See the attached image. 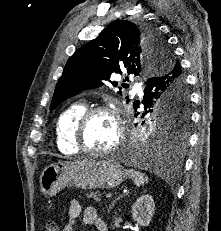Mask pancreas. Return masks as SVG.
<instances>
[{
	"label": "pancreas",
	"instance_id": "cf45deb5",
	"mask_svg": "<svg viewBox=\"0 0 221 231\" xmlns=\"http://www.w3.org/2000/svg\"><path fill=\"white\" fill-rule=\"evenodd\" d=\"M87 197H88V198H91V197H92L95 201H100L97 192H91L90 194H87Z\"/></svg>",
	"mask_w": 221,
	"mask_h": 231
}]
</instances>
